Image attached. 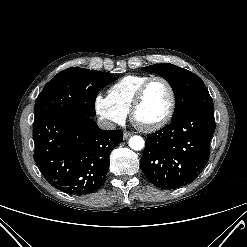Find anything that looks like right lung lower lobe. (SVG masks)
Listing matches in <instances>:
<instances>
[{"label":"right lung lower lobe","instance_id":"obj_1","mask_svg":"<svg viewBox=\"0 0 247 247\" xmlns=\"http://www.w3.org/2000/svg\"><path fill=\"white\" fill-rule=\"evenodd\" d=\"M34 159L55 188L86 195L106 179L111 150L123 141L121 130H102L92 117L54 113L34 120Z\"/></svg>","mask_w":247,"mask_h":247}]
</instances>
